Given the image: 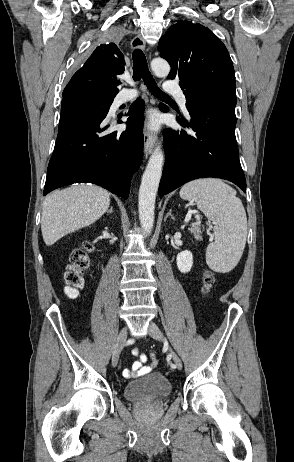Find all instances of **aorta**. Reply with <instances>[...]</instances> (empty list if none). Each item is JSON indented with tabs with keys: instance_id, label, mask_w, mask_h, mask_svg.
Returning <instances> with one entry per match:
<instances>
[{
	"instance_id": "762f6f07",
	"label": "aorta",
	"mask_w": 294,
	"mask_h": 462,
	"mask_svg": "<svg viewBox=\"0 0 294 462\" xmlns=\"http://www.w3.org/2000/svg\"><path fill=\"white\" fill-rule=\"evenodd\" d=\"M151 68L157 77H166L170 72V65L161 58L153 59ZM163 163L164 154L158 145L149 158L139 189V219L147 234L151 233L154 224L155 200L162 176Z\"/></svg>"
}]
</instances>
